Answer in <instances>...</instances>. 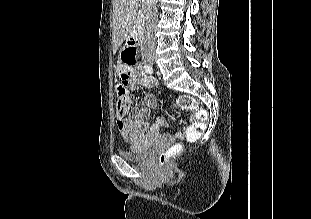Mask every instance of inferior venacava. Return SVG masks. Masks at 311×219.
Here are the masks:
<instances>
[{
  "mask_svg": "<svg viewBox=\"0 0 311 219\" xmlns=\"http://www.w3.org/2000/svg\"><path fill=\"white\" fill-rule=\"evenodd\" d=\"M143 12L145 14V34L142 50L153 51L155 49L154 30L157 23V8L155 0H142Z\"/></svg>",
  "mask_w": 311,
  "mask_h": 219,
  "instance_id": "inferior-vena-cava-1",
  "label": "inferior vena cava"
}]
</instances>
